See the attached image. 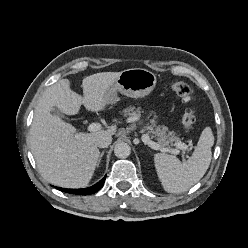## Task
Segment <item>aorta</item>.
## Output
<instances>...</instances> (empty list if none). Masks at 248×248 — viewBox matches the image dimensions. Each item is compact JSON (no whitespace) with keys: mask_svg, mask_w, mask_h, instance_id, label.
Here are the masks:
<instances>
[{"mask_svg":"<svg viewBox=\"0 0 248 248\" xmlns=\"http://www.w3.org/2000/svg\"><path fill=\"white\" fill-rule=\"evenodd\" d=\"M130 153H131V148L125 142L117 143L114 147V154L118 158H126L130 155Z\"/></svg>","mask_w":248,"mask_h":248,"instance_id":"obj_1","label":"aorta"}]
</instances>
